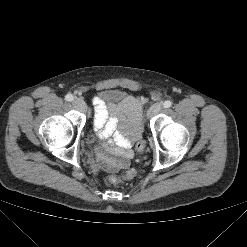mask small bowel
<instances>
[{
  "mask_svg": "<svg viewBox=\"0 0 247 247\" xmlns=\"http://www.w3.org/2000/svg\"><path fill=\"white\" fill-rule=\"evenodd\" d=\"M95 117L94 128L100 136L112 134L117 127L120 144V155L125 159L116 163H107L110 167L122 168L131 157L130 144L139 137L141 130V105L138 98L127 96L122 101L107 105L98 97L94 99Z\"/></svg>",
  "mask_w": 247,
  "mask_h": 247,
  "instance_id": "c3829d8e",
  "label": "small bowel"
}]
</instances>
